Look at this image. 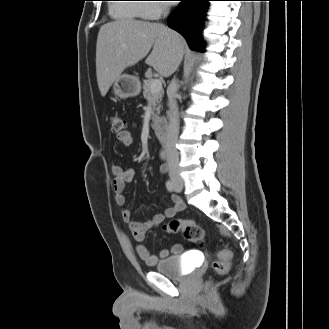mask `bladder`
<instances>
[{"mask_svg":"<svg viewBox=\"0 0 329 329\" xmlns=\"http://www.w3.org/2000/svg\"><path fill=\"white\" fill-rule=\"evenodd\" d=\"M154 270L171 279H180L186 274L183 257L175 255L159 259L155 263Z\"/></svg>","mask_w":329,"mask_h":329,"instance_id":"obj_1","label":"bladder"}]
</instances>
